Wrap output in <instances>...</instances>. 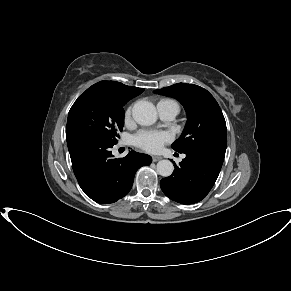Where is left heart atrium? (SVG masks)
<instances>
[{"label":"left heart atrium","mask_w":291,"mask_h":291,"mask_svg":"<svg viewBox=\"0 0 291 291\" xmlns=\"http://www.w3.org/2000/svg\"><path fill=\"white\" fill-rule=\"evenodd\" d=\"M171 140L170 133L156 130H142L133 137L135 146L152 153L160 151Z\"/></svg>","instance_id":"1"}]
</instances>
